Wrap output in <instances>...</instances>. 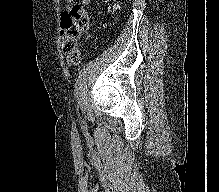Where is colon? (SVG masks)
I'll use <instances>...</instances> for the list:
<instances>
[{"label":"colon","mask_w":219,"mask_h":192,"mask_svg":"<svg viewBox=\"0 0 219 192\" xmlns=\"http://www.w3.org/2000/svg\"><path fill=\"white\" fill-rule=\"evenodd\" d=\"M120 8V0L108 7L109 13H114ZM89 29V16L80 5H73L60 17V36L62 49L67 56L69 64L75 65L79 61L78 42L82 35Z\"/></svg>","instance_id":"5ec220e1"}]
</instances>
